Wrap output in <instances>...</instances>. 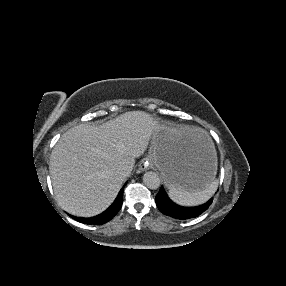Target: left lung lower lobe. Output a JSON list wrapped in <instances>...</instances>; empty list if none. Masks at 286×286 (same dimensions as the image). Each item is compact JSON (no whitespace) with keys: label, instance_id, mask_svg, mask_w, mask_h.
<instances>
[{"label":"left lung lower lobe","instance_id":"1","mask_svg":"<svg viewBox=\"0 0 286 286\" xmlns=\"http://www.w3.org/2000/svg\"><path fill=\"white\" fill-rule=\"evenodd\" d=\"M211 203L212 199L197 207H182L173 203L168 198L163 187H161L160 191L156 195V205L159 210L165 215L174 217L176 219H190L198 217L201 213L208 209Z\"/></svg>","mask_w":286,"mask_h":286}]
</instances>
